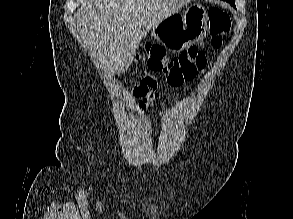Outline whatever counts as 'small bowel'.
<instances>
[{
  "label": "small bowel",
  "instance_id": "c3829d8e",
  "mask_svg": "<svg viewBox=\"0 0 293 219\" xmlns=\"http://www.w3.org/2000/svg\"><path fill=\"white\" fill-rule=\"evenodd\" d=\"M157 89L158 84L152 78H144L134 89L135 96L140 98L138 105L140 111L145 110L150 102L155 101L160 97Z\"/></svg>",
  "mask_w": 293,
  "mask_h": 219
}]
</instances>
